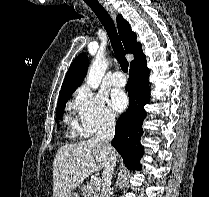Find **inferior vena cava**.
Masks as SVG:
<instances>
[{"label":"inferior vena cava","instance_id":"obj_1","mask_svg":"<svg viewBox=\"0 0 209 197\" xmlns=\"http://www.w3.org/2000/svg\"><path fill=\"white\" fill-rule=\"evenodd\" d=\"M115 125V117L113 115H106L96 134V139L102 142L107 150V161L102 175L103 183L100 197H110L111 194V181L116 165V158L115 151L110 142L114 138Z\"/></svg>","mask_w":209,"mask_h":197}]
</instances>
